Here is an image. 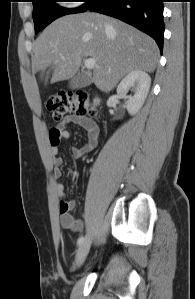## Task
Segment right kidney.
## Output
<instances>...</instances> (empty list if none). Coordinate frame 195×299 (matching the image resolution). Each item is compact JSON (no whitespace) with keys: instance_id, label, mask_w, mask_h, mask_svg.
<instances>
[{"instance_id":"ca27d5eb","label":"right kidney","mask_w":195,"mask_h":299,"mask_svg":"<svg viewBox=\"0 0 195 299\" xmlns=\"http://www.w3.org/2000/svg\"><path fill=\"white\" fill-rule=\"evenodd\" d=\"M150 84V76L142 70L129 72L119 83L117 95L119 98L127 99L125 104L130 115L138 113L142 108L149 93ZM129 89L134 91L133 96H126Z\"/></svg>"}]
</instances>
